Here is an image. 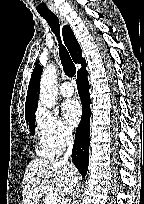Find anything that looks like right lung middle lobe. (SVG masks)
I'll list each match as a JSON object with an SVG mask.
<instances>
[{
	"label": "right lung middle lobe",
	"mask_w": 144,
	"mask_h": 204,
	"mask_svg": "<svg viewBox=\"0 0 144 204\" xmlns=\"http://www.w3.org/2000/svg\"><path fill=\"white\" fill-rule=\"evenodd\" d=\"M26 120L30 121L29 129H30L31 133L34 135V133H35V130H34V122H35L34 116L30 117V118H27Z\"/></svg>",
	"instance_id": "right-lung-middle-lobe-1"
}]
</instances>
